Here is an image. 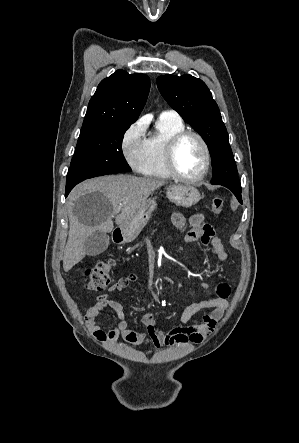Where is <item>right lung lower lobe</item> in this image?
Returning <instances> with one entry per match:
<instances>
[{"mask_svg": "<svg viewBox=\"0 0 299 443\" xmlns=\"http://www.w3.org/2000/svg\"><path fill=\"white\" fill-rule=\"evenodd\" d=\"M74 186H75V185L66 186V194H65V197L69 194V192L72 190V188H73Z\"/></svg>", "mask_w": 299, "mask_h": 443, "instance_id": "obj_1", "label": "right lung lower lobe"}]
</instances>
